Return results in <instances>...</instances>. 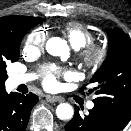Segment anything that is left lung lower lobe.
I'll return each mask as SVG.
<instances>
[{"mask_svg":"<svg viewBox=\"0 0 131 131\" xmlns=\"http://www.w3.org/2000/svg\"><path fill=\"white\" fill-rule=\"evenodd\" d=\"M125 124L114 118L104 108L95 105L88 115L80 116L75 106L74 117L65 126L66 131H119Z\"/></svg>","mask_w":131,"mask_h":131,"instance_id":"1","label":"left lung lower lobe"}]
</instances>
